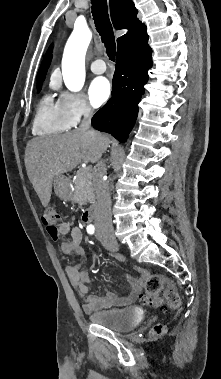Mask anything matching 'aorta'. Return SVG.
Returning a JSON list of instances; mask_svg holds the SVG:
<instances>
[{
	"mask_svg": "<svg viewBox=\"0 0 221 379\" xmlns=\"http://www.w3.org/2000/svg\"><path fill=\"white\" fill-rule=\"evenodd\" d=\"M91 38L92 33L88 27H77L66 43L62 59V75L70 91L78 92L84 85L85 55Z\"/></svg>",
	"mask_w": 221,
	"mask_h": 379,
	"instance_id": "762f6f07",
	"label": "aorta"
}]
</instances>
